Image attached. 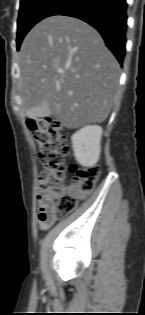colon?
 I'll list each match as a JSON object with an SVG mask.
<instances>
[{"label":"colon","mask_w":145,"mask_h":315,"mask_svg":"<svg viewBox=\"0 0 145 315\" xmlns=\"http://www.w3.org/2000/svg\"><path fill=\"white\" fill-rule=\"evenodd\" d=\"M27 126L39 146V159L43 171L39 175V188L42 192H59L56 213L65 215L77 206V199L88 194L96 185L100 167L93 165L79 168L72 165L74 174L69 187L64 186V157L69 150L67 137L57 122L49 117L29 118Z\"/></svg>","instance_id":"obj_1"}]
</instances>
